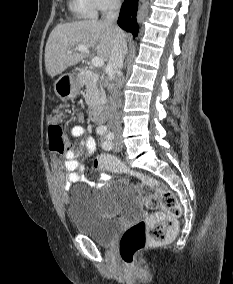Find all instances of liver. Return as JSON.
Returning <instances> with one entry per match:
<instances>
[{
    "mask_svg": "<svg viewBox=\"0 0 233 284\" xmlns=\"http://www.w3.org/2000/svg\"><path fill=\"white\" fill-rule=\"evenodd\" d=\"M116 27L105 20H84L58 24L50 33L45 48V67L49 76L61 74L76 65L87 53L76 51L79 45L93 49L97 57L110 60Z\"/></svg>",
    "mask_w": 233,
    "mask_h": 284,
    "instance_id": "6515ba94",
    "label": "liver"
}]
</instances>
